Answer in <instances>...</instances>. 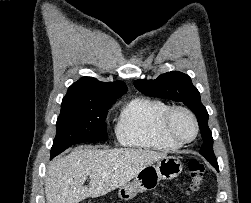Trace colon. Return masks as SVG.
<instances>
[{
	"mask_svg": "<svg viewBox=\"0 0 251 203\" xmlns=\"http://www.w3.org/2000/svg\"><path fill=\"white\" fill-rule=\"evenodd\" d=\"M188 173L190 181L187 190L189 193H195L200 189L201 184L203 182L205 166L202 162L198 160H190L188 162Z\"/></svg>",
	"mask_w": 251,
	"mask_h": 203,
	"instance_id": "colon-1",
	"label": "colon"
}]
</instances>
